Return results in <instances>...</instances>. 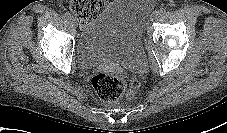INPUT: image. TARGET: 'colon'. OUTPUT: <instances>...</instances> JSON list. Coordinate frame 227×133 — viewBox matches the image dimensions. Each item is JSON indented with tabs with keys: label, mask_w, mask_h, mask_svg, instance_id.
<instances>
[{
	"label": "colon",
	"mask_w": 227,
	"mask_h": 133,
	"mask_svg": "<svg viewBox=\"0 0 227 133\" xmlns=\"http://www.w3.org/2000/svg\"><path fill=\"white\" fill-rule=\"evenodd\" d=\"M110 0H71V10L83 23L93 20ZM91 83L98 96L106 102L131 99L139 87V82H127L118 73L98 72L93 75Z\"/></svg>",
	"instance_id": "obj_1"
}]
</instances>
